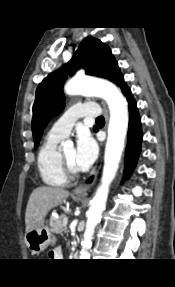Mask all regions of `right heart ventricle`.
Instances as JSON below:
<instances>
[{
    "instance_id": "right-heart-ventricle-1",
    "label": "right heart ventricle",
    "mask_w": 175,
    "mask_h": 287,
    "mask_svg": "<svg viewBox=\"0 0 175 287\" xmlns=\"http://www.w3.org/2000/svg\"><path fill=\"white\" fill-rule=\"evenodd\" d=\"M62 138L48 134L37 155V167L43 182L53 187H63L68 183L59 157L58 144Z\"/></svg>"
}]
</instances>
